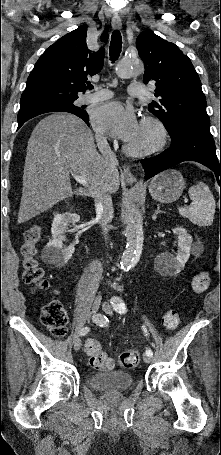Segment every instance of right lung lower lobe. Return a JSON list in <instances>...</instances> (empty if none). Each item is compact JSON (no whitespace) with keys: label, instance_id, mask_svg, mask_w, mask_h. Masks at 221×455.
<instances>
[{"label":"right lung lower lobe","instance_id":"obj_1","mask_svg":"<svg viewBox=\"0 0 221 455\" xmlns=\"http://www.w3.org/2000/svg\"><path fill=\"white\" fill-rule=\"evenodd\" d=\"M47 112H54V111H49V110H39V111H33V112H29L27 114H24V115H21L18 117V129L26 122L28 121L29 119L37 116V115H40V114H43V113H47ZM62 112H66V111H62ZM80 117V116H78ZM81 119H83V121H85V123L87 125H89V120H88V114L86 117H80Z\"/></svg>","mask_w":221,"mask_h":455}]
</instances>
